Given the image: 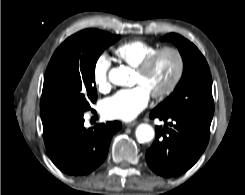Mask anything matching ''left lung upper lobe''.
I'll list each match as a JSON object with an SVG mask.
<instances>
[{"mask_svg": "<svg viewBox=\"0 0 245 195\" xmlns=\"http://www.w3.org/2000/svg\"><path fill=\"white\" fill-rule=\"evenodd\" d=\"M162 41H171L179 49L184 69L173 93L155 110L194 112L213 115L212 80L206 59L198 48L184 37L170 33Z\"/></svg>", "mask_w": 245, "mask_h": 195, "instance_id": "5c2ea615", "label": "left lung upper lobe"}]
</instances>
